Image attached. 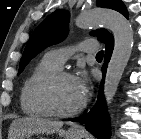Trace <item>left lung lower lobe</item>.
<instances>
[{"mask_svg":"<svg viewBox=\"0 0 141 139\" xmlns=\"http://www.w3.org/2000/svg\"><path fill=\"white\" fill-rule=\"evenodd\" d=\"M105 59L102 66L103 76L105 77L107 64L111 58L114 40L111 36L105 42ZM103 83L104 78L101 83V88L99 91V96L97 103L92 108L89 113H86L78 118L72 119V121H77L80 123H85V128L92 133L95 137L99 139H108L109 138V118L107 114V108L105 106L104 96H103Z\"/></svg>","mask_w":141,"mask_h":139,"instance_id":"1","label":"left lung lower lobe"}]
</instances>
